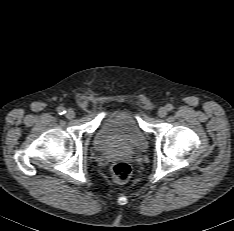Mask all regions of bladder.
<instances>
[{
	"label": "bladder",
	"instance_id": "1",
	"mask_svg": "<svg viewBox=\"0 0 234 231\" xmlns=\"http://www.w3.org/2000/svg\"><path fill=\"white\" fill-rule=\"evenodd\" d=\"M100 151L126 148L134 152H145L148 139L134 116L127 110L111 113L99 127L94 137Z\"/></svg>",
	"mask_w": 234,
	"mask_h": 231
}]
</instances>
